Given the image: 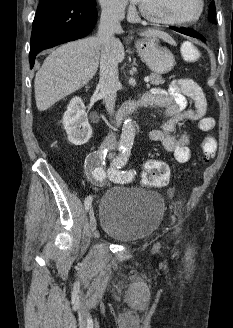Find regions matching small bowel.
Here are the masks:
<instances>
[{
    "label": "small bowel",
    "instance_id": "1",
    "mask_svg": "<svg viewBox=\"0 0 233 328\" xmlns=\"http://www.w3.org/2000/svg\"><path fill=\"white\" fill-rule=\"evenodd\" d=\"M148 94L152 103L163 108V122L149 132V138L159 142L178 162H188L192 155L190 135H175L176 126L182 121H192L200 131L209 132L216 125L215 119L207 116V100L202 88L194 80L182 78L172 81L167 89L154 88ZM187 99L193 101V108H187Z\"/></svg>",
    "mask_w": 233,
    "mask_h": 328
}]
</instances>
